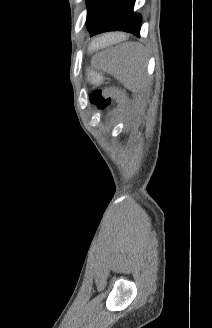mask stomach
<instances>
[{"instance_id":"1","label":"stomach","mask_w":212,"mask_h":328,"mask_svg":"<svg viewBox=\"0 0 212 328\" xmlns=\"http://www.w3.org/2000/svg\"><path fill=\"white\" fill-rule=\"evenodd\" d=\"M89 76L93 83H99L101 81V76L94 71H90Z\"/></svg>"}]
</instances>
